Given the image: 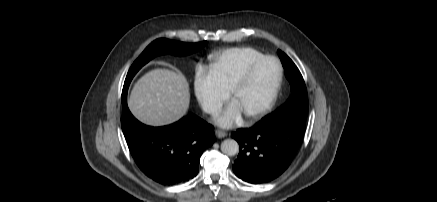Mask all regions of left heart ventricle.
<instances>
[{"mask_svg": "<svg viewBox=\"0 0 437 202\" xmlns=\"http://www.w3.org/2000/svg\"><path fill=\"white\" fill-rule=\"evenodd\" d=\"M277 74L278 66L271 60L256 68L249 82L233 98L243 115L255 112L266 102Z\"/></svg>", "mask_w": 437, "mask_h": 202, "instance_id": "1", "label": "left heart ventricle"}]
</instances>
